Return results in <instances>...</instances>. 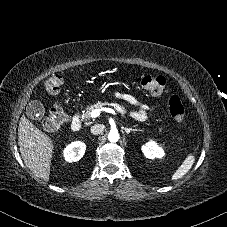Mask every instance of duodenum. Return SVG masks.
Listing matches in <instances>:
<instances>
[{
    "instance_id": "obj_1",
    "label": "duodenum",
    "mask_w": 227,
    "mask_h": 227,
    "mask_svg": "<svg viewBox=\"0 0 227 227\" xmlns=\"http://www.w3.org/2000/svg\"><path fill=\"white\" fill-rule=\"evenodd\" d=\"M70 127H71V129L74 132H78V131L81 130V128H82V118H81V115L79 113H76L73 116V118L71 120Z\"/></svg>"
}]
</instances>
